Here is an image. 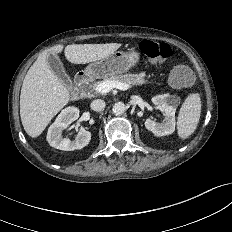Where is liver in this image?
<instances>
[{
    "mask_svg": "<svg viewBox=\"0 0 232 232\" xmlns=\"http://www.w3.org/2000/svg\"><path fill=\"white\" fill-rule=\"evenodd\" d=\"M120 43L59 44L44 51L28 70L21 88L20 116L26 133L36 138L51 119L71 100L70 93L50 69L47 58L61 53L74 64H86L109 56L121 47ZM76 99V98H73Z\"/></svg>",
    "mask_w": 232,
    "mask_h": 232,
    "instance_id": "1",
    "label": "liver"
}]
</instances>
